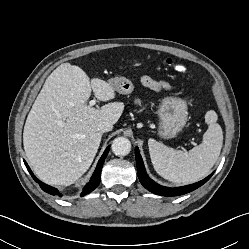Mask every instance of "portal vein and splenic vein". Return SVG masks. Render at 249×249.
Wrapping results in <instances>:
<instances>
[{
    "mask_svg": "<svg viewBox=\"0 0 249 249\" xmlns=\"http://www.w3.org/2000/svg\"><path fill=\"white\" fill-rule=\"evenodd\" d=\"M95 104H96V100L94 99V100H91V101L89 102L88 106L91 107V106H93V105H95Z\"/></svg>",
    "mask_w": 249,
    "mask_h": 249,
    "instance_id": "portal-vein-and-splenic-vein-1",
    "label": "portal vein and splenic vein"
}]
</instances>
